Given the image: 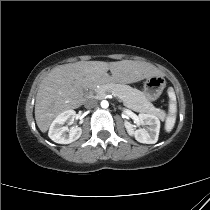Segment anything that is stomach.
Returning <instances> with one entry per match:
<instances>
[{
    "mask_svg": "<svg viewBox=\"0 0 210 210\" xmlns=\"http://www.w3.org/2000/svg\"><path fill=\"white\" fill-rule=\"evenodd\" d=\"M166 81L162 76H152L144 81V94L149 101H154L162 94Z\"/></svg>",
    "mask_w": 210,
    "mask_h": 210,
    "instance_id": "0dacf381",
    "label": "stomach"
}]
</instances>
